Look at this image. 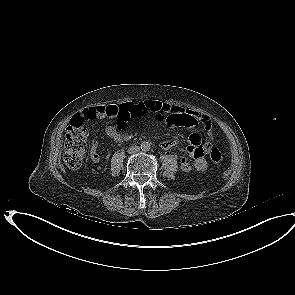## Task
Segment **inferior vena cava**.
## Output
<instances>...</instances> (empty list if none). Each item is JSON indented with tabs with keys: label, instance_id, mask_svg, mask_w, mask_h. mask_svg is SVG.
I'll use <instances>...</instances> for the list:
<instances>
[{
	"label": "inferior vena cava",
	"instance_id": "1",
	"mask_svg": "<svg viewBox=\"0 0 295 295\" xmlns=\"http://www.w3.org/2000/svg\"><path fill=\"white\" fill-rule=\"evenodd\" d=\"M140 151V147L139 146H131L129 149H128V153L129 154H134V153H137Z\"/></svg>",
	"mask_w": 295,
	"mask_h": 295
}]
</instances>
